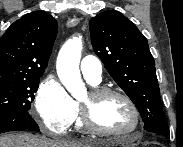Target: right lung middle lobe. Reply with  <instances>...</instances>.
<instances>
[{"mask_svg": "<svg viewBox=\"0 0 183 147\" xmlns=\"http://www.w3.org/2000/svg\"><path fill=\"white\" fill-rule=\"evenodd\" d=\"M39 79L0 81V114L28 111L38 89Z\"/></svg>", "mask_w": 183, "mask_h": 147, "instance_id": "dd1d6c3e", "label": "right lung middle lobe"}]
</instances>
